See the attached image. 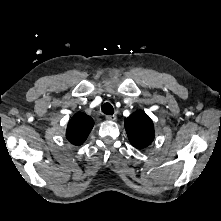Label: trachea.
Wrapping results in <instances>:
<instances>
[{
	"mask_svg": "<svg viewBox=\"0 0 221 221\" xmlns=\"http://www.w3.org/2000/svg\"><path fill=\"white\" fill-rule=\"evenodd\" d=\"M101 110L104 114H107V115H112L114 113L113 106L108 102L102 105Z\"/></svg>",
	"mask_w": 221,
	"mask_h": 221,
	"instance_id": "trachea-1",
	"label": "trachea"
}]
</instances>
